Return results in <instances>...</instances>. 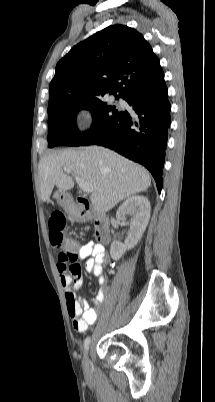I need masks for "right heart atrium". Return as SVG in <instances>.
Masks as SVG:
<instances>
[{"mask_svg":"<svg viewBox=\"0 0 215 402\" xmlns=\"http://www.w3.org/2000/svg\"><path fill=\"white\" fill-rule=\"evenodd\" d=\"M91 115L88 111L82 110L79 113V118L82 122H87L90 119Z\"/></svg>","mask_w":215,"mask_h":402,"instance_id":"1","label":"right heart atrium"}]
</instances>
